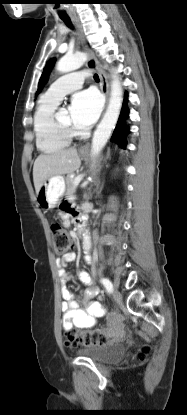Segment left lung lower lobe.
Masks as SVG:
<instances>
[{
	"label": "left lung lower lobe",
	"mask_w": 187,
	"mask_h": 415,
	"mask_svg": "<svg viewBox=\"0 0 187 415\" xmlns=\"http://www.w3.org/2000/svg\"><path fill=\"white\" fill-rule=\"evenodd\" d=\"M127 97H128V94L125 93L123 107L121 109V113H120L117 125L115 127V130L111 137V141L117 143L120 147L124 149L126 148V144H127L126 135L129 132V128L127 127L125 123V119L129 113V109L127 107V101H128Z\"/></svg>",
	"instance_id": "1"
}]
</instances>
